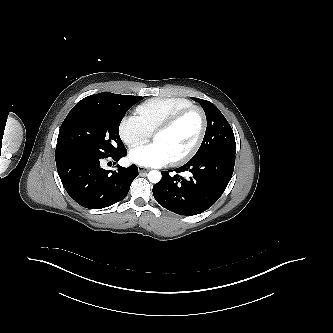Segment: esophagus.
<instances>
[{"label": "esophagus", "mask_w": 333, "mask_h": 333, "mask_svg": "<svg viewBox=\"0 0 333 333\" xmlns=\"http://www.w3.org/2000/svg\"><path fill=\"white\" fill-rule=\"evenodd\" d=\"M138 171H139V173H146V172L149 171V169L144 168V167H139V168H138Z\"/></svg>", "instance_id": "34e87169"}]
</instances>
